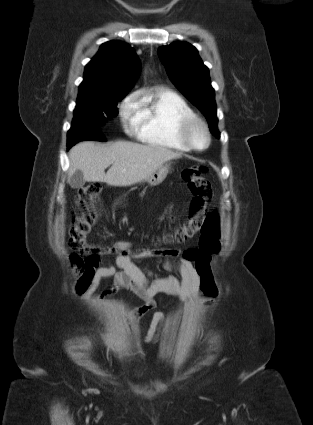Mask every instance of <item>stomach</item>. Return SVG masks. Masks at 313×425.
I'll list each match as a JSON object with an SVG mask.
<instances>
[{
    "mask_svg": "<svg viewBox=\"0 0 313 425\" xmlns=\"http://www.w3.org/2000/svg\"><path fill=\"white\" fill-rule=\"evenodd\" d=\"M170 169L169 163L162 164L157 170L151 173L145 181L151 185L156 186L164 181Z\"/></svg>",
    "mask_w": 313,
    "mask_h": 425,
    "instance_id": "0dacf381",
    "label": "stomach"
}]
</instances>
